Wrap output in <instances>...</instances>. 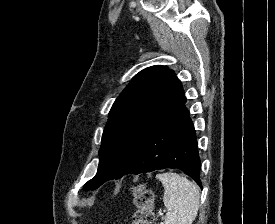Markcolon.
Here are the masks:
<instances>
[{"label":"colon","instance_id":"5ec220e1","mask_svg":"<svg viewBox=\"0 0 275 224\" xmlns=\"http://www.w3.org/2000/svg\"><path fill=\"white\" fill-rule=\"evenodd\" d=\"M135 212L132 224H151L153 221L154 193L146 185H138L133 189Z\"/></svg>","mask_w":275,"mask_h":224}]
</instances>
